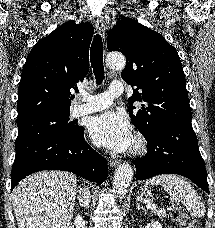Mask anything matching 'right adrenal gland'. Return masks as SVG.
<instances>
[{"label":"right adrenal gland","mask_w":215,"mask_h":228,"mask_svg":"<svg viewBox=\"0 0 215 228\" xmlns=\"http://www.w3.org/2000/svg\"><path fill=\"white\" fill-rule=\"evenodd\" d=\"M78 200H79V204L81 206V208H86V206H89L90 202H91V196H88V198H85L84 202L82 200V196L80 194V196H77Z\"/></svg>","instance_id":"2a0ac1e0"}]
</instances>
